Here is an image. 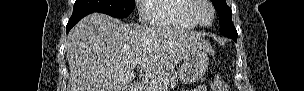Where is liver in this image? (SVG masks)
Listing matches in <instances>:
<instances>
[{
    "label": "liver",
    "mask_w": 304,
    "mask_h": 91,
    "mask_svg": "<svg viewBox=\"0 0 304 91\" xmlns=\"http://www.w3.org/2000/svg\"><path fill=\"white\" fill-rule=\"evenodd\" d=\"M213 52L197 32L125 24L105 14L84 17L67 37V91H125L140 58L146 77L170 72L193 49Z\"/></svg>",
    "instance_id": "liver-1"
}]
</instances>
